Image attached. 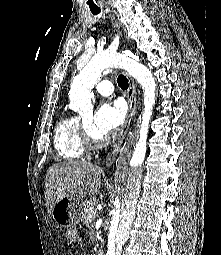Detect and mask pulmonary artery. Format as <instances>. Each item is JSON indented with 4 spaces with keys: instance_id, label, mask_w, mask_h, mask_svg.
<instances>
[{
    "instance_id": "e3ab8cb5",
    "label": "pulmonary artery",
    "mask_w": 221,
    "mask_h": 255,
    "mask_svg": "<svg viewBox=\"0 0 221 255\" xmlns=\"http://www.w3.org/2000/svg\"><path fill=\"white\" fill-rule=\"evenodd\" d=\"M98 93L104 96H109L113 93V85L109 80H101L95 85Z\"/></svg>"
}]
</instances>
